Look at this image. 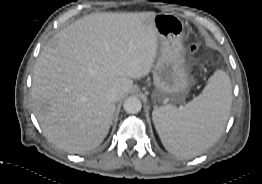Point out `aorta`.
<instances>
[{
	"label": "aorta",
	"instance_id": "aorta-1",
	"mask_svg": "<svg viewBox=\"0 0 262 184\" xmlns=\"http://www.w3.org/2000/svg\"><path fill=\"white\" fill-rule=\"evenodd\" d=\"M141 108H142V103L135 96H130L127 99H125L123 104V109L125 110L126 113L129 114L138 113L140 112Z\"/></svg>",
	"mask_w": 262,
	"mask_h": 184
}]
</instances>
